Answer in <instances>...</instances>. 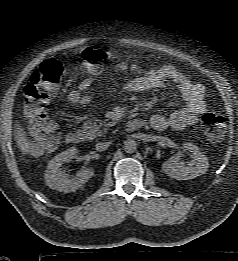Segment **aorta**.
<instances>
[{"label": "aorta", "instance_id": "obj_1", "mask_svg": "<svg viewBox=\"0 0 238 261\" xmlns=\"http://www.w3.org/2000/svg\"><path fill=\"white\" fill-rule=\"evenodd\" d=\"M123 149L126 153H133L137 149V142L134 139H127L124 142Z\"/></svg>", "mask_w": 238, "mask_h": 261}]
</instances>
